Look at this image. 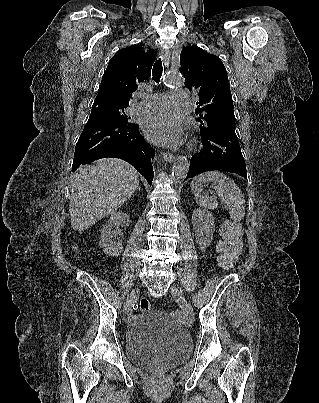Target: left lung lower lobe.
<instances>
[{
    "mask_svg": "<svg viewBox=\"0 0 319 403\" xmlns=\"http://www.w3.org/2000/svg\"><path fill=\"white\" fill-rule=\"evenodd\" d=\"M202 148L192 156L187 178L202 172L228 171L247 178L246 165L235 133V123L221 124L201 133Z\"/></svg>",
    "mask_w": 319,
    "mask_h": 403,
    "instance_id": "obj_1",
    "label": "left lung lower lobe"
}]
</instances>
